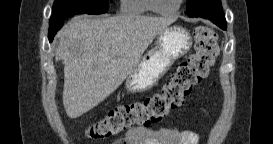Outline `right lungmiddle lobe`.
I'll use <instances>...</instances> for the list:
<instances>
[{"label":"right lung middle lobe","instance_id":"dd1d6c3e","mask_svg":"<svg viewBox=\"0 0 273 144\" xmlns=\"http://www.w3.org/2000/svg\"><path fill=\"white\" fill-rule=\"evenodd\" d=\"M108 10V0H55L49 22V35H55L64 20L75 14H102Z\"/></svg>","mask_w":273,"mask_h":144}]
</instances>
